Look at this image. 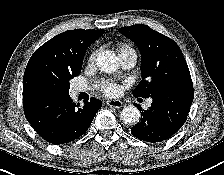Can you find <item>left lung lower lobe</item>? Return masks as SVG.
Masks as SVG:
<instances>
[{"label":"left lung lower lobe","instance_id":"0a47b994","mask_svg":"<svg viewBox=\"0 0 224 175\" xmlns=\"http://www.w3.org/2000/svg\"><path fill=\"white\" fill-rule=\"evenodd\" d=\"M148 110H142L139 123L131 128L136 138L156 143L174 135L185 123L194 92L163 91L151 96Z\"/></svg>","mask_w":224,"mask_h":175}]
</instances>
